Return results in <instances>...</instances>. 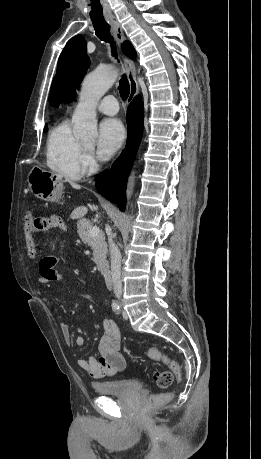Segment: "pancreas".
<instances>
[{
  "mask_svg": "<svg viewBox=\"0 0 261 459\" xmlns=\"http://www.w3.org/2000/svg\"><path fill=\"white\" fill-rule=\"evenodd\" d=\"M93 227V223L88 219L83 218L77 222V232L81 240L92 247L94 262L98 267L105 264L107 255V244L105 242V235L101 231L95 237L90 236V229Z\"/></svg>",
  "mask_w": 261,
  "mask_h": 459,
  "instance_id": "obj_1",
  "label": "pancreas"
}]
</instances>
